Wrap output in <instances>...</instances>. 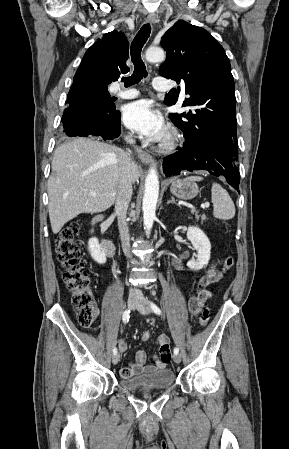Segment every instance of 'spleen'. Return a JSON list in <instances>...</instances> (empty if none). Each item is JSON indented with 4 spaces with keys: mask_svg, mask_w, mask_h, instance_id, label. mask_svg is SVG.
I'll use <instances>...</instances> for the list:
<instances>
[{
    "mask_svg": "<svg viewBox=\"0 0 289 449\" xmlns=\"http://www.w3.org/2000/svg\"><path fill=\"white\" fill-rule=\"evenodd\" d=\"M201 176L186 178L189 181H201ZM213 216L220 220H230L235 216V205L228 192L218 183L212 184Z\"/></svg>",
    "mask_w": 289,
    "mask_h": 449,
    "instance_id": "3e777b00",
    "label": "spleen"
}]
</instances>
